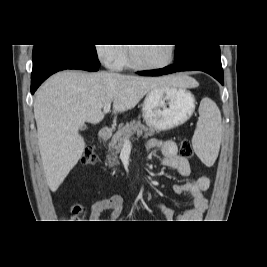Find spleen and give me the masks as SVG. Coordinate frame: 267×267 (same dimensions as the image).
<instances>
[{
	"instance_id": "spleen-1",
	"label": "spleen",
	"mask_w": 267,
	"mask_h": 267,
	"mask_svg": "<svg viewBox=\"0 0 267 267\" xmlns=\"http://www.w3.org/2000/svg\"><path fill=\"white\" fill-rule=\"evenodd\" d=\"M221 114L216 105L200 107V119L192 138L193 148L198 157L208 166L214 164L221 142Z\"/></svg>"
}]
</instances>
